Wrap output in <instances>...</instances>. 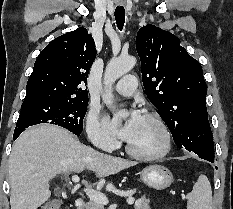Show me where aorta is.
<instances>
[{
	"label": "aorta",
	"mask_w": 233,
	"mask_h": 209,
	"mask_svg": "<svg viewBox=\"0 0 233 209\" xmlns=\"http://www.w3.org/2000/svg\"><path fill=\"white\" fill-rule=\"evenodd\" d=\"M135 64L136 59L134 57L112 59L108 63L104 75L105 90L102 95V99L106 105L111 106L113 103L112 86L115 81L128 73ZM126 116L127 113L125 111H119L115 113L114 119L120 120Z\"/></svg>",
	"instance_id": "obj_1"
}]
</instances>
